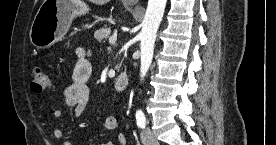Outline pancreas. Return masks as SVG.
Instances as JSON below:
<instances>
[{"label": "pancreas", "instance_id": "1", "mask_svg": "<svg viewBox=\"0 0 276 145\" xmlns=\"http://www.w3.org/2000/svg\"><path fill=\"white\" fill-rule=\"evenodd\" d=\"M111 35V29L110 27L107 28H101L97 31H95L94 33V37L97 41L101 42H105L109 36Z\"/></svg>", "mask_w": 276, "mask_h": 145}]
</instances>
